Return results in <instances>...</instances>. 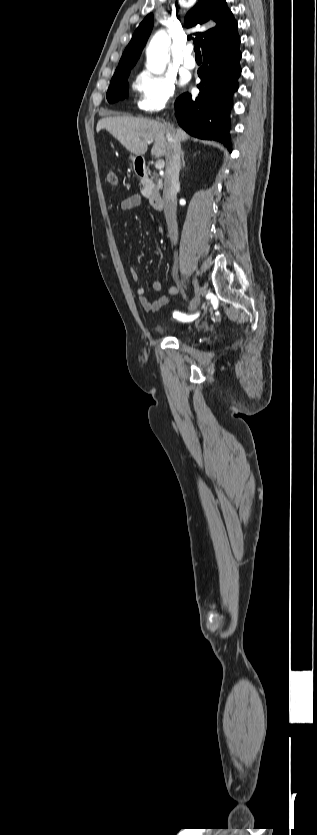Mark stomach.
<instances>
[{"instance_id": "0dacf381", "label": "stomach", "mask_w": 317, "mask_h": 835, "mask_svg": "<svg viewBox=\"0 0 317 835\" xmlns=\"http://www.w3.org/2000/svg\"><path fill=\"white\" fill-rule=\"evenodd\" d=\"M137 158H138L137 156H135V157H133V156H132V157H131V160L133 161V163H135V161L137 160Z\"/></svg>"}]
</instances>
